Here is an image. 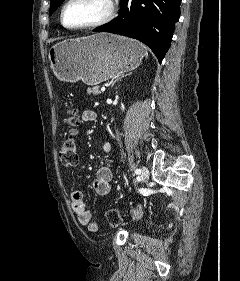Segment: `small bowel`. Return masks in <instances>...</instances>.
I'll return each mask as SVG.
<instances>
[{
    "label": "small bowel",
    "instance_id": "c3829d8e",
    "mask_svg": "<svg viewBox=\"0 0 240 281\" xmlns=\"http://www.w3.org/2000/svg\"><path fill=\"white\" fill-rule=\"evenodd\" d=\"M96 118L97 113L94 110H85L82 114V119L85 122H92ZM103 149L107 153L111 152L113 149L112 144L105 142ZM112 177L113 171L111 166H103L98 169L93 182V188L98 195L105 196L110 193ZM70 202L79 223L87 226L89 231L96 232L99 229V224L92 220V214L86 209L83 193L79 190H72L70 193Z\"/></svg>",
    "mask_w": 240,
    "mask_h": 281
}]
</instances>
